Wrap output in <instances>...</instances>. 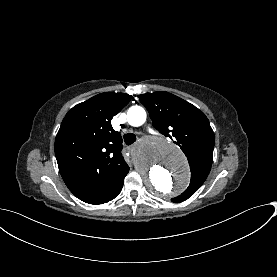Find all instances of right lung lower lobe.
Returning <instances> with one entry per match:
<instances>
[{"mask_svg": "<svg viewBox=\"0 0 277 277\" xmlns=\"http://www.w3.org/2000/svg\"><path fill=\"white\" fill-rule=\"evenodd\" d=\"M128 171H129V167L125 170V172L122 175L119 182L110 191H108L106 194H104V195L98 197L97 199H95L93 201H90L88 203L95 204V205L103 204V203L109 202L110 200L117 197L119 195V193L121 192V190H122L123 183H124V178L127 175Z\"/></svg>", "mask_w": 277, "mask_h": 277, "instance_id": "right-lung-lower-lobe-1", "label": "right lung lower lobe"}]
</instances>
